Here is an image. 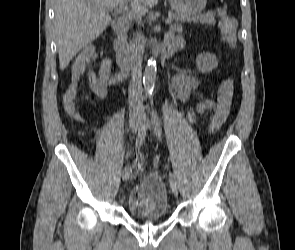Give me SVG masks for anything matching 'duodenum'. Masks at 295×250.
I'll use <instances>...</instances> for the list:
<instances>
[{"label":"duodenum","instance_id":"duodenum-1","mask_svg":"<svg viewBox=\"0 0 295 250\" xmlns=\"http://www.w3.org/2000/svg\"><path fill=\"white\" fill-rule=\"evenodd\" d=\"M129 27V20L126 17H118L113 22V31L115 33L114 49L121 56L123 65L121 72L116 75L122 77L126 72L135 69V63L130 57L127 47L126 33Z\"/></svg>","mask_w":295,"mask_h":250}]
</instances>
